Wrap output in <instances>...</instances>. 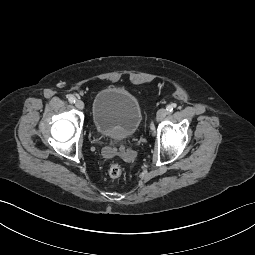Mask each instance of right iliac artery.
Wrapping results in <instances>:
<instances>
[{
    "mask_svg": "<svg viewBox=\"0 0 255 255\" xmlns=\"http://www.w3.org/2000/svg\"><path fill=\"white\" fill-rule=\"evenodd\" d=\"M68 100H69V102H70L71 104L75 103V101H76V99H75L74 96H70V97L68 98Z\"/></svg>",
    "mask_w": 255,
    "mask_h": 255,
    "instance_id": "obj_1",
    "label": "right iliac artery"
}]
</instances>
